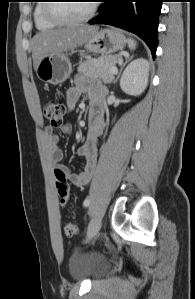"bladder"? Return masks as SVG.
<instances>
[{
  "instance_id": "bladder-1",
  "label": "bladder",
  "mask_w": 195,
  "mask_h": 299,
  "mask_svg": "<svg viewBox=\"0 0 195 299\" xmlns=\"http://www.w3.org/2000/svg\"><path fill=\"white\" fill-rule=\"evenodd\" d=\"M69 272L76 280L99 278L106 273V263L97 254L76 250L69 259Z\"/></svg>"
}]
</instances>
